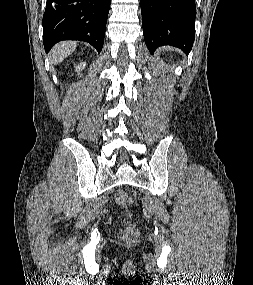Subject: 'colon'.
Masks as SVG:
<instances>
[{"mask_svg": "<svg viewBox=\"0 0 253 285\" xmlns=\"http://www.w3.org/2000/svg\"><path fill=\"white\" fill-rule=\"evenodd\" d=\"M115 200L118 205L127 207L130 200L128 194L124 190H118L115 194ZM122 239L127 242H133L137 239L139 232L138 229L131 224H125L121 230Z\"/></svg>", "mask_w": 253, "mask_h": 285, "instance_id": "5ec220e1", "label": "colon"}]
</instances>
